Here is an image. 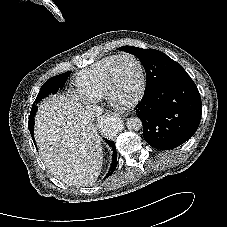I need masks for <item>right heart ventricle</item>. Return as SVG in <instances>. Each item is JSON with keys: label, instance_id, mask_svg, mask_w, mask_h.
<instances>
[{"label": "right heart ventricle", "instance_id": "obj_1", "mask_svg": "<svg viewBox=\"0 0 227 227\" xmlns=\"http://www.w3.org/2000/svg\"><path fill=\"white\" fill-rule=\"evenodd\" d=\"M115 58L116 55L104 57L79 73L74 83L76 91L89 101L104 98L108 69Z\"/></svg>", "mask_w": 227, "mask_h": 227}]
</instances>
